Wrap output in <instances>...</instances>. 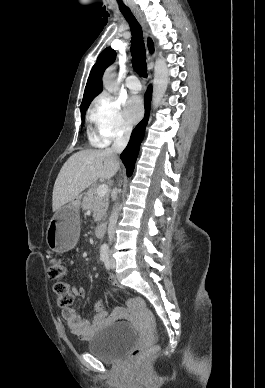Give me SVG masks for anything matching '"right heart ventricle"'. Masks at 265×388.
I'll list each match as a JSON object with an SVG mask.
<instances>
[{
	"label": "right heart ventricle",
	"instance_id": "1",
	"mask_svg": "<svg viewBox=\"0 0 265 388\" xmlns=\"http://www.w3.org/2000/svg\"><path fill=\"white\" fill-rule=\"evenodd\" d=\"M91 138H92L93 140L97 141V142L99 141L98 138L95 137L93 133H91Z\"/></svg>",
	"mask_w": 265,
	"mask_h": 388
}]
</instances>
